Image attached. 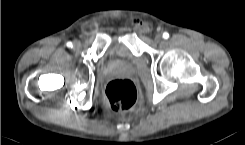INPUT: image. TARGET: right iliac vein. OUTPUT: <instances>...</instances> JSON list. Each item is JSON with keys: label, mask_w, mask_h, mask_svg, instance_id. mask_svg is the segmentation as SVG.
<instances>
[{"label": "right iliac vein", "mask_w": 245, "mask_h": 145, "mask_svg": "<svg viewBox=\"0 0 245 145\" xmlns=\"http://www.w3.org/2000/svg\"><path fill=\"white\" fill-rule=\"evenodd\" d=\"M73 47H74V49H78L80 47V41L75 40L73 43Z\"/></svg>", "instance_id": "63e3f726"}]
</instances>
